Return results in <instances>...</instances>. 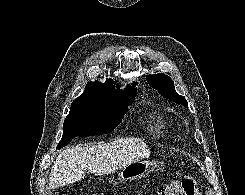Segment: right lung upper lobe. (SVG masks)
Here are the masks:
<instances>
[{"instance_id": "1", "label": "right lung upper lobe", "mask_w": 245, "mask_h": 195, "mask_svg": "<svg viewBox=\"0 0 245 195\" xmlns=\"http://www.w3.org/2000/svg\"><path fill=\"white\" fill-rule=\"evenodd\" d=\"M137 83H133L135 86ZM128 85L127 88L123 90H115L113 86V81L107 79L106 83H101L99 81L88 82L86 85L84 93L78 98H89L96 100H103L108 102H126L137 94L136 89Z\"/></svg>"}]
</instances>
